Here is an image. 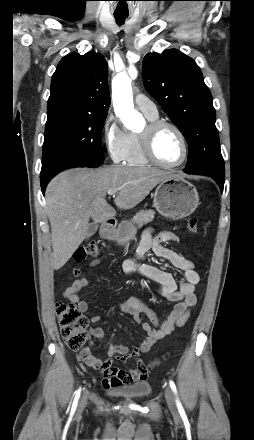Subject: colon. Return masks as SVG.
Returning a JSON list of instances; mask_svg holds the SVG:
<instances>
[{"instance_id": "1", "label": "colon", "mask_w": 254, "mask_h": 440, "mask_svg": "<svg viewBox=\"0 0 254 440\" xmlns=\"http://www.w3.org/2000/svg\"><path fill=\"white\" fill-rule=\"evenodd\" d=\"M188 231L196 233L198 231V219L192 217L187 223ZM99 248L95 242H87L79 246L73 253V260L82 262L89 257H96ZM78 272L75 271V275ZM58 321L61 327V335L67 347L74 351H82L89 338L87 331L89 319L82 315L73 303L60 302L56 306Z\"/></svg>"}]
</instances>
